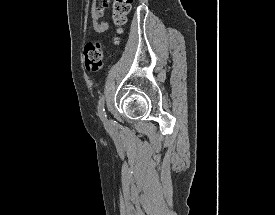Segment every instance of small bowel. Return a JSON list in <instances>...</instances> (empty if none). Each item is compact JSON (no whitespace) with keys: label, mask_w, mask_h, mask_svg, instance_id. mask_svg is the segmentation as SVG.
Instances as JSON below:
<instances>
[{"label":"small bowel","mask_w":275,"mask_h":215,"mask_svg":"<svg viewBox=\"0 0 275 215\" xmlns=\"http://www.w3.org/2000/svg\"><path fill=\"white\" fill-rule=\"evenodd\" d=\"M95 1L93 0L91 5V16L93 18L92 30L96 33H104L109 29V24L100 22V19L104 16L110 0H97V4Z\"/></svg>","instance_id":"c3829d8e"}]
</instances>
